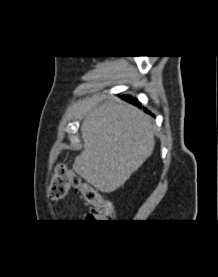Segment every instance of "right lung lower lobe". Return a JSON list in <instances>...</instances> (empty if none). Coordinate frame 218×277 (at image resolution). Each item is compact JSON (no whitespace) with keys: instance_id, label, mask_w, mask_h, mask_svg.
Listing matches in <instances>:
<instances>
[{"instance_id":"1","label":"right lung lower lobe","mask_w":218,"mask_h":277,"mask_svg":"<svg viewBox=\"0 0 218 277\" xmlns=\"http://www.w3.org/2000/svg\"><path fill=\"white\" fill-rule=\"evenodd\" d=\"M124 99H126L128 102H130V103H132V104H134V105H137V106H140V105H141V104L137 101L136 98L133 99V98H131V97L125 96ZM140 108H141V106H140ZM149 113H150V112H149Z\"/></svg>"}]
</instances>
